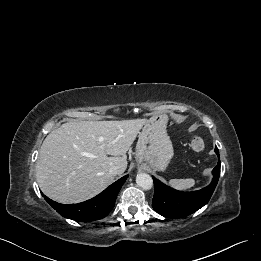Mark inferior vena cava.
<instances>
[{"instance_id": "inferior-vena-cava-1", "label": "inferior vena cava", "mask_w": 261, "mask_h": 261, "mask_svg": "<svg viewBox=\"0 0 261 261\" xmlns=\"http://www.w3.org/2000/svg\"><path fill=\"white\" fill-rule=\"evenodd\" d=\"M109 173L111 174V175H118V174H120L121 172H120V169H119V167H117V166H111L110 168H109Z\"/></svg>"}]
</instances>
